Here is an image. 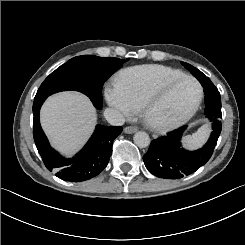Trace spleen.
<instances>
[{"label":"spleen","instance_id":"obj_1","mask_svg":"<svg viewBox=\"0 0 245 245\" xmlns=\"http://www.w3.org/2000/svg\"><path fill=\"white\" fill-rule=\"evenodd\" d=\"M213 129L211 122L203 124L195 133L192 135H186L180 137L179 147L188 152H195L202 149L209 141Z\"/></svg>","mask_w":245,"mask_h":245}]
</instances>
